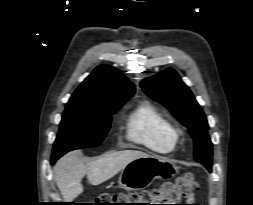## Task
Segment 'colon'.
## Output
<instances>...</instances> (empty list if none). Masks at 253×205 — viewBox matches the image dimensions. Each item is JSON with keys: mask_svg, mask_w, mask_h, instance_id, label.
Returning a JSON list of instances; mask_svg holds the SVG:
<instances>
[{"mask_svg": "<svg viewBox=\"0 0 253 205\" xmlns=\"http://www.w3.org/2000/svg\"><path fill=\"white\" fill-rule=\"evenodd\" d=\"M198 188L192 173L171 182L136 193L102 194L98 205H180L182 199L191 198Z\"/></svg>", "mask_w": 253, "mask_h": 205, "instance_id": "colon-1", "label": "colon"}]
</instances>
